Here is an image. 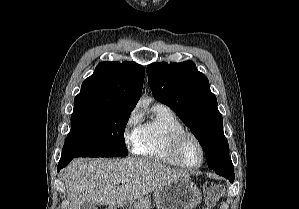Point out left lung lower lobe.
<instances>
[{
    "mask_svg": "<svg viewBox=\"0 0 299 209\" xmlns=\"http://www.w3.org/2000/svg\"><path fill=\"white\" fill-rule=\"evenodd\" d=\"M218 175H221L227 179H229L230 182L234 181L235 175H234V168L232 161H228L226 164L223 166L213 169Z\"/></svg>",
    "mask_w": 299,
    "mask_h": 209,
    "instance_id": "obj_1",
    "label": "left lung lower lobe"
}]
</instances>
